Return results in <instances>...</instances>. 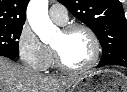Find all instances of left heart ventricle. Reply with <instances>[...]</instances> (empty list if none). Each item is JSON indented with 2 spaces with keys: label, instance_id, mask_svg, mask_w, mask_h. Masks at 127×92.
<instances>
[{
  "label": "left heart ventricle",
  "instance_id": "1",
  "mask_svg": "<svg viewBox=\"0 0 127 92\" xmlns=\"http://www.w3.org/2000/svg\"><path fill=\"white\" fill-rule=\"evenodd\" d=\"M52 45L59 50L64 62L73 68L86 65L93 54L91 39L83 30H76L69 34L60 31Z\"/></svg>",
  "mask_w": 127,
  "mask_h": 92
}]
</instances>
